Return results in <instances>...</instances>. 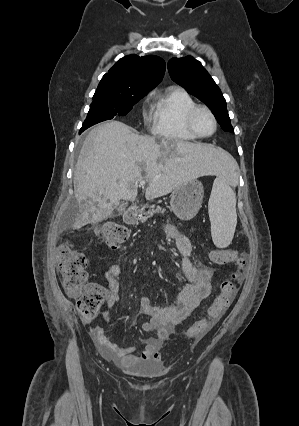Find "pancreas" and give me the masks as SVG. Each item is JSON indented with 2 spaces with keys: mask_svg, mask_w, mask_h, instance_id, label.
Wrapping results in <instances>:
<instances>
[{
  "mask_svg": "<svg viewBox=\"0 0 299 426\" xmlns=\"http://www.w3.org/2000/svg\"><path fill=\"white\" fill-rule=\"evenodd\" d=\"M159 212H161V213H164L165 212V209H162L161 207H159V206H157L156 208H154V207H151L146 213H145V215H146V218H148V217H151V216H153V214H155V213H159Z\"/></svg>",
  "mask_w": 299,
  "mask_h": 426,
  "instance_id": "pancreas-1",
  "label": "pancreas"
}]
</instances>
